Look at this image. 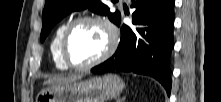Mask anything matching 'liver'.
Masks as SVG:
<instances>
[{
  "label": "liver",
  "instance_id": "obj_1",
  "mask_svg": "<svg viewBox=\"0 0 221 102\" xmlns=\"http://www.w3.org/2000/svg\"><path fill=\"white\" fill-rule=\"evenodd\" d=\"M71 80H72V78L61 77V78H55V79L48 80L44 84L45 85H60V84L70 82Z\"/></svg>",
  "mask_w": 221,
  "mask_h": 102
}]
</instances>
